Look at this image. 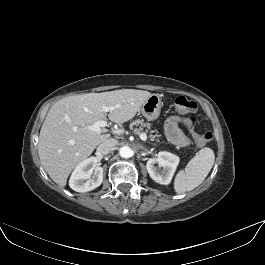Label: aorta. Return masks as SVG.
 Returning <instances> with one entry per match:
<instances>
[{"label": "aorta", "instance_id": "1", "mask_svg": "<svg viewBox=\"0 0 265 265\" xmlns=\"http://www.w3.org/2000/svg\"><path fill=\"white\" fill-rule=\"evenodd\" d=\"M119 154L123 158H130L133 156V151L127 146H123L119 149Z\"/></svg>", "mask_w": 265, "mask_h": 265}]
</instances>
